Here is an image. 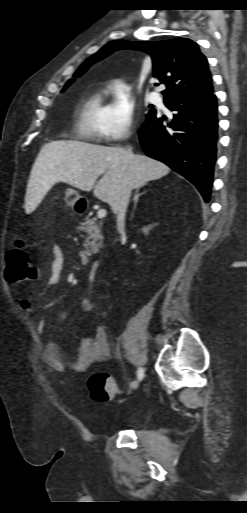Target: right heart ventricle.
Instances as JSON below:
<instances>
[{"label": "right heart ventricle", "instance_id": "1", "mask_svg": "<svg viewBox=\"0 0 247 513\" xmlns=\"http://www.w3.org/2000/svg\"><path fill=\"white\" fill-rule=\"evenodd\" d=\"M107 109L104 103V89L89 92L78 103L74 131L78 137L87 140L101 138L102 122Z\"/></svg>", "mask_w": 247, "mask_h": 513}]
</instances>
